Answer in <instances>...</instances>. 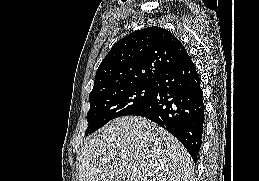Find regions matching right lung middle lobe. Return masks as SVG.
<instances>
[{
    "instance_id": "right-lung-middle-lobe-1",
    "label": "right lung middle lobe",
    "mask_w": 259,
    "mask_h": 181,
    "mask_svg": "<svg viewBox=\"0 0 259 181\" xmlns=\"http://www.w3.org/2000/svg\"><path fill=\"white\" fill-rule=\"evenodd\" d=\"M153 89V83L136 84L90 95L85 134L95 132L112 119L130 115L148 100Z\"/></svg>"
}]
</instances>
